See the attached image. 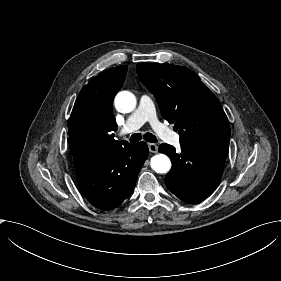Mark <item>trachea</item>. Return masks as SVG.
<instances>
[{"label": "trachea", "mask_w": 281, "mask_h": 281, "mask_svg": "<svg viewBox=\"0 0 281 281\" xmlns=\"http://www.w3.org/2000/svg\"><path fill=\"white\" fill-rule=\"evenodd\" d=\"M142 139V136L140 133H134L133 135H131L130 138V142L131 143H136L138 141H140ZM143 139L147 142H151V143H155L157 142V139L154 135H152L151 133H145L143 135Z\"/></svg>", "instance_id": "3493384b"}]
</instances>
